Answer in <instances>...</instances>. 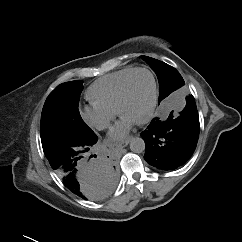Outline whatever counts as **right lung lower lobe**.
<instances>
[{
  "mask_svg": "<svg viewBox=\"0 0 242 242\" xmlns=\"http://www.w3.org/2000/svg\"><path fill=\"white\" fill-rule=\"evenodd\" d=\"M98 138L64 145L46 155L51 167L72 193L88 200H100L111 194L117 183V171L110 159L89 156ZM109 158V157H108Z\"/></svg>",
  "mask_w": 242,
  "mask_h": 242,
  "instance_id": "obj_1",
  "label": "right lung lower lobe"
}]
</instances>
